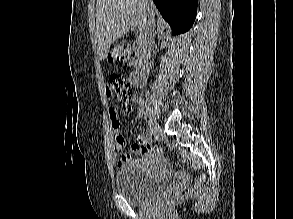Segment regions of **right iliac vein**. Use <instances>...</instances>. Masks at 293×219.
<instances>
[{
  "instance_id": "1",
  "label": "right iliac vein",
  "mask_w": 293,
  "mask_h": 219,
  "mask_svg": "<svg viewBox=\"0 0 293 219\" xmlns=\"http://www.w3.org/2000/svg\"><path fill=\"white\" fill-rule=\"evenodd\" d=\"M160 127L158 125V123L153 120V119H150L149 122H148V130L150 132L151 135H156L159 131Z\"/></svg>"
}]
</instances>
